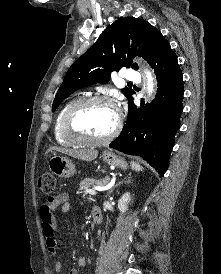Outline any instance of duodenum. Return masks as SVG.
Masks as SVG:
<instances>
[{
	"label": "duodenum",
	"mask_w": 221,
	"mask_h": 274,
	"mask_svg": "<svg viewBox=\"0 0 221 274\" xmlns=\"http://www.w3.org/2000/svg\"><path fill=\"white\" fill-rule=\"evenodd\" d=\"M92 218L95 225H99L102 222V211L99 207L95 206L92 209Z\"/></svg>",
	"instance_id": "410a0bca"
}]
</instances>
